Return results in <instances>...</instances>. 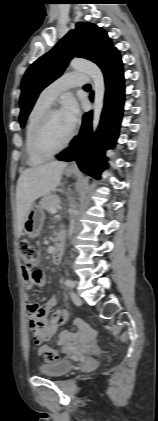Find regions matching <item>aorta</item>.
<instances>
[{
	"mask_svg": "<svg viewBox=\"0 0 158 421\" xmlns=\"http://www.w3.org/2000/svg\"><path fill=\"white\" fill-rule=\"evenodd\" d=\"M69 67L86 73L92 79L94 91L92 127L93 132H95L99 125L101 113L104 107L105 81L103 73L95 63L81 58L72 59Z\"/></svg>",
	"mask_w": 158,
	"mask_h": 421,
	"instance_id": "762f6f07",
	"label": "aorta"
}]
</instances>
